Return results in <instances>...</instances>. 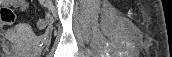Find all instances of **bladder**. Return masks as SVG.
Instances as JSON below:
<instances>
[{"instance_id":"obj_1","label":"bladder","mask_w":172,"mask_h":57,"mask_svg":"<svg viewBox=\"0 0 172 57\" xmlns=\"http://www.w3.org/2000/svg\"><path fill=\"white\" fill-rule=\"evenodd\" d=\"M15 52H4L3 54H1L2 57H17L16 55H14Z\"/></svg>"}]
</instances>
